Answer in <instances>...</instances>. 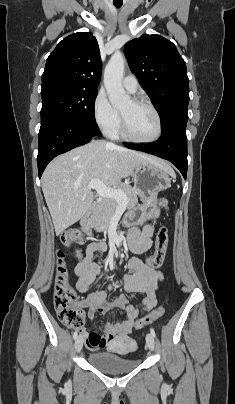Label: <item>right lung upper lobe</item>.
Here are the masks:
<instances>
[{"label":"right lung upper lobe","instance_id":"obj_1","mask_svg":"<svg viewBox=\"0 0 235 404\" xmlns=\"http://www.w3.org/2000/svg\"><path fill=\"white\" fill-rule=\"evenodd\" d=\"M100 51L90 32L64 38L47 58L42 85L60 83L97 91L101 77Z\"/></svg>","mask_w":235,"mask_h":404}]
</instances>
